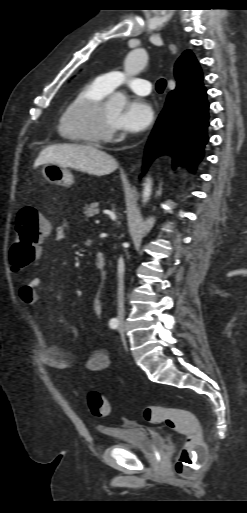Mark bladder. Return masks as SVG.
<instances>
[{"label":"bladder","instance_id":"31cf9c89","mask_svg":"<svg viewBox=\"0 0 247 513\" xmlns=\"http://www.w3.org/2000/svg\"><path fill=\"white\" fill-rule=\"evenodd\" d=\"M101 432L112 437V446L133 448L145 455L164 449V439L156 431L142 427H105Z\"/></svg>","mask_w":247,"mask_h":513}]
</instances>
